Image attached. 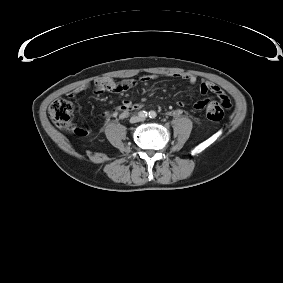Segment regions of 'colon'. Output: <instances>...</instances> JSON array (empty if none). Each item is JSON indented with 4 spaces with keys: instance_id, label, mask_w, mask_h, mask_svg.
Segmentation results:
<instances>
[{
    "instance_id": "5ec220e1",
    "label": "colon",
    "mask_w": 283,
    "mask_h": 283,
    "mask_svg": "<svg viewBox=\"0 0 283 283\" xmlns=\"http://www.w3.org/2000/svg\"><path fill=\"white\" fill-rule=\"evenodd\" d=\"M231 107V102L226 94L222 93L219 101H212L206 108V116L211 121H220L224 116L225 109ZM73 113L72 104L64 99L58 98L49 106V116L53 123L62 129H71L78 135H86L88 130L85 128H74L71 126V116Z\"/></svg>"
}]
</instances>
